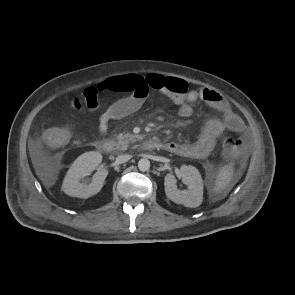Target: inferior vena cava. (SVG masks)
<instances>
[{
  "instance_id": "1",
  "label": "inferior vena cava",
  "mask_w": 295,
  "mask_h": 295,
  "mask_svg": "<svg viewBox=\"0 0 295 295\" xmlns=\"http://www.w3.org/2000/svg\"><path fill=\"white\" fill-rule=\"evenodd\" d=\"M130 159H131V155H128V154L119 155L116 158V163L117 164H123V163L127 162Z\"/></svg>"
}]
</instances>
